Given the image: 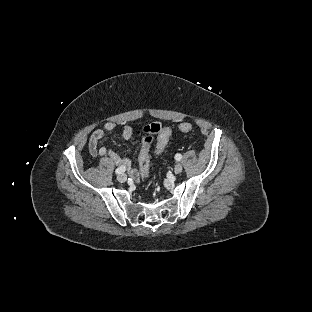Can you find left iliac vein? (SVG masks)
Listing matches in <instances>:
<instances>
[{"label":"left iliac vein","mask_w":312,"mask_h":312,"mask_svg":"<svg viewBox=\"0 0 312 312\" xmlns=\"http://www.w3.org/2000/svg\"><path fill=\"white\" fill-rule=\"evenodd\" d=\"M182 170H183L182 165H181L180 163H177V164L175 165V167H174V172H175V174L181 173Z\"/></svg>","instance_id":"obj_1"}]
</instances>
